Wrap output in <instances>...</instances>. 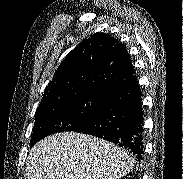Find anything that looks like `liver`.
<instances>
[{"mask_svg":"<svg viewBox=\"0 0 183 179\" xmlns=\"http://www.w3.org/2000/svg\"><path fill=\"white\" fill-rule=\"evenodd\" d=\"M133 165L128 152L111 142L61 132L31 148L25 179H120Z\"/></svg>","mask_w":183,"mask_h":179,"instance_id":"6515ba94","label":"liver"}]
</instances>
